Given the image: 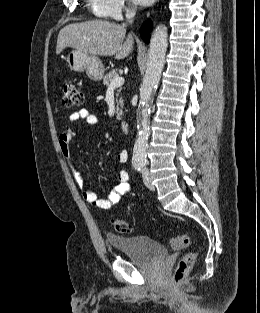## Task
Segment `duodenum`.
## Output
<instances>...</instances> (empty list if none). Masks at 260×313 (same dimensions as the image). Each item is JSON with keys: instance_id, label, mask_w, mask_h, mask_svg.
I'll return each mask as SVG.
<instances>
[{"instance_id": "1", "label": "duodenum", "mask_w": 260, "mask_h": 313, "mask_svg": "<svg viewBox=\"0 0 260 313\" xmlns=\"http://www.w3.org/2000/svg\"><path fill=\"white\" fill-rule=\"evenodd\" d=\"M122 130L125 134L129 133V123L127 121L122 122Z\"/></svg>"}]
</instances>
